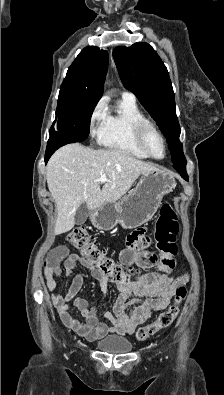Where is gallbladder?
Masks as SVG:
<instances>
[{"label":"gallbladder","mask_w":224,"mask_h":395,"mask_svg":"<svg viewBox=\"0 0 224 395\" xmlns=\"http://www.w3.org/2000/svg\"><path fill=\"white\" fill-rule=\"evenodd\" d=\"M88 213H89V210H88L87 204L84 202L76 210V213L74 216L75 223L77 225L84 224L88 218Z\"/></svg>","instance_id":"bac80fb5"}]
</instances>
